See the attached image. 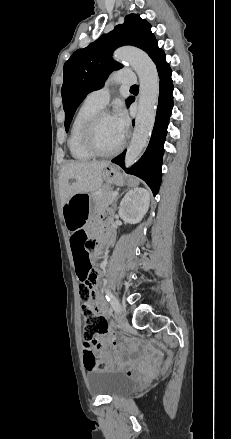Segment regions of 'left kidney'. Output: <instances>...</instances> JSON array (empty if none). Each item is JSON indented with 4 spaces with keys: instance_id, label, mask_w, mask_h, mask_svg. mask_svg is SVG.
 Returning <instances> with one entry per match:
<instances>
[{
    "instance_id": "1",
    "label": "left kidney",
    "mask_w": 231,
    "mask_h": 439,
    "mask_svg": "<svg viewBox=\"0 0 231 439\" xmlns=\"http://www.w3.org/2000/svg\"><path fill=\"white\" fill-rule=\"evenodd\" d=\"M150 194L140 187L131 189L122 199L119 206V216L128 223H138L149 208Z\"/></svg>"
}]
</instances>
